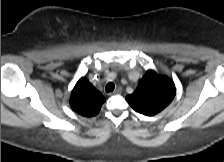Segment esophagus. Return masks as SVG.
Segmentation results:
<instances>
[{
    "mask_svg": "<svg viewBox=\"0 0 224 162\" xmlns=\"http://www.w3.org/2000/svg\"><path fill=\"white\" fill-rule=\"evenodd\" d=\"M121 92H122L121 88H117L113 92H110L109 95L121 94Z\"/></svg>",
    "mask_w": 224,
    "mask_h": 162,
    "instance_id": "obj_1",
    "label": "esophagus"
}]
</instances>
